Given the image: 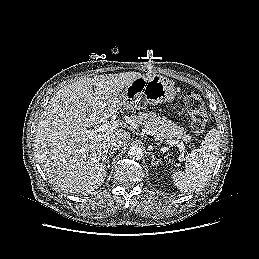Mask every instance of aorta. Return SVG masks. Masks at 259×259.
<instances>
[{
    "label": "aorta",
    "mask_w": 259,
    "mask_h": 259,
    "mask_svg": "<svg viewBox=\"0 0 259 259\" xmlns=\"http://www.w3.org/2000/svg\"><path fill=\"white\" fill-rule=\"evenodd\" d=\"M128 156L132 160H140L143 157V150L140 147L132 146L128 150Z\"/></svg>",
    "instance_id": "obj_1"
}]
</instances>
